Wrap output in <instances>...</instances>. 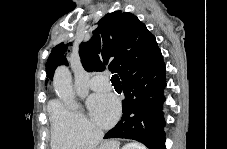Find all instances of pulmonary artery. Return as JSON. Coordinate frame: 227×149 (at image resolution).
<instances>
[{"label": "pulmonary artery", "mask_w": 227, "mask_h": 149, "mask_svg": "<svg viewBox=\"0 0 227 149\" xmlns=\"http://www.w3.org/2000/svg\"><path fill=\"white\" fill-rule=\"evenodd\" d=\"M90 87L96 91L109 89L110 80L106 75H95L90 80Z\"/></svg>", "instance_id": "pulmonary-artery-1"}]
</instances>
